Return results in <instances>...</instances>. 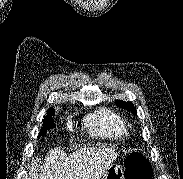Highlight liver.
<instances>
[{
	"instance_id": "obj_1",
	"label": "liver",
	"mask_w": 183,
	"mask_h": 179,
	"mask_svg": "<svg viewBox=\"0 0 183 179\" xmlns=\"http://www.w3.org/2000/svg\"><path fill=\"white\" fill-rule=\"evenodd\" d=\"M118 153L112 148L90 147L67 155L56 148L49 152L44 163L33 160L29 179H102Z\"/></svg>"
}]
</instances>
